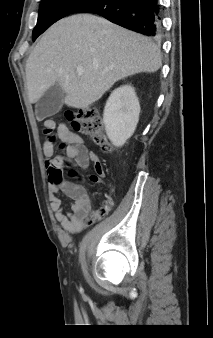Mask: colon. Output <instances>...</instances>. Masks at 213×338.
I'll return each mask as SVG.
<instances>
[{"label":"colon","instance_id":"5ec220e1","mask_svg":"<svg viewBox=\"0 0 213 338\" xmlns=\"http://www.w3.org/2000/svg\"><path fill=\"white\" fill-rule=\"evenodd\" d=\"M68 120L76 130L82 133L86 138L100 146L104 151H109L111 145L107 139L104 123L102 118L98 115L96 109L87 108L79 111H69ZM96 173L90 176V181L97 184L101 181V168L95 167ZM48 180L52 183H57L63 176L61 167L55 160H51L48 167H46ZM71 176H76L75 172L69 173ZM112 204L104 200L100 206L93 211V221L103 219L110 212Z\"/></svg>","mask_w":213,"mask_h":338}]
</instances>
